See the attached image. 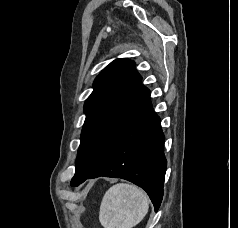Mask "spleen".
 I'll return each mask as SVG.
<instances>
[{"label": "spleen", "mask_w": 238, "mask_h": 228, "mask_svg": "<svg viewBox=\"0 0 238 228\" xmlns=\"http://www.w3.org/2000/svg\"><path fill=\"white\" fill-rule=\"evenodd\" d=\"M149 209L148 195L135 185L118 183L110 187L101 202L99 221L104 228H132Z\"/></svg>", "instance_id": "spleen-1"}]
</instances>
